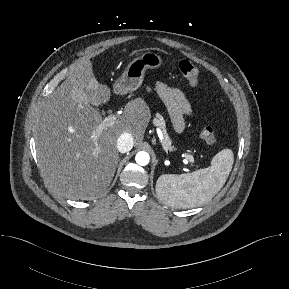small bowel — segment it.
<instances>
[{
	"mask_svg": "<svg viewBox=\"0 0 289 289\" xmlns=\"http://www.w3.org/2000/svg\"><path fill=\"white\" fill-rule=\"evenodd\" d=\"M153 90L166 105L175 130L182 132L185 127V117L193 114L191 105L184 93L179 88L163 82H156Z\"/></svg>",
	"mask_w": 289,
	"mask_h": 289,
	"instance_id": "1",
	"label": "small bowel"
}]
</instances>
